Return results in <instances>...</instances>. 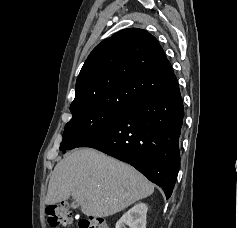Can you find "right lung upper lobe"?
I'll use <instances>...</instances> for the list:
<instances>
[{"instance_id": "cb5924a9", "label": "right lung upper lobe", "mask_w": 238, "mask_h": 228, "mask_svg": "<svg viewBox=\"0 0 238 228\" xmlns=\"http://www.w3.org/2000/svg\"><path fill=\"white\" fill-rule=\"evenodd\" d=\"M176 83L156 38L142 29H124L98 44L88 56L76 81L70 111L130 106Z\"/></svg>"}]
</instances>
